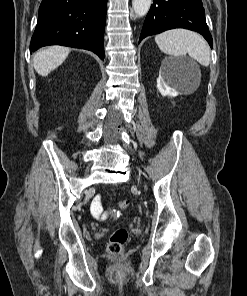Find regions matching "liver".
I'll return each mask as SVG.
<instances>
[{
	"label": "liver",
	"mask_w": 247,
	"mask_h": 296,
	"mask_svg": "<svg viewBox=\"0 0 247 296\" xmlns=\"http://www.w3.org/2000/svg\"><path fill=\"white\" fill-rule=\"evenodd\" d=\"M69 52V48L58 45L39 50L33 58L36 72L43 77L47 76L65 61Z\"/></svg>",
	"instance_id": "1"
}]
</instances>
